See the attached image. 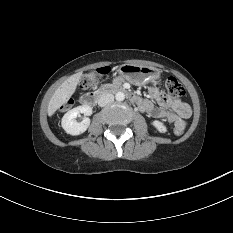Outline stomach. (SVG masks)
Segmentation results:
<instances>
[{
  "label": "stomach",
  "instance_id": "obj_1",
  "mask_svg": "<svg viewBox=\"0 0 233 233\" xmlns=\"http://www.w3.org/2000/svg\"><path fill=\"white\" fill-rule=\"evenodd\" d=\"M118 72L126 80L136 85H141L149 80H156L160 78L159 70L150 66L122 64L119 67Z\"/></svg>",
  "mask_w": 233,
  "mask_h": 233
}]
</instances>
